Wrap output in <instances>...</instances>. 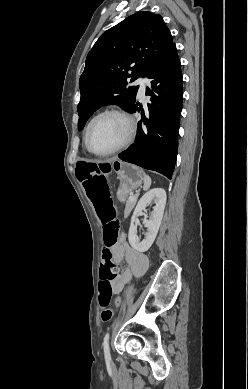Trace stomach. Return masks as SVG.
<instances>
[{"mask_svg":"<svg viewBox=\"0 0 248 389\" xmlns=\"http://www.w3.org/2000/svg\"><path fill=\"white\" fill-rule=\"evenodd\" d=\"M112 169L116 171L120 182L117 197L120 201H124L131 191L142 185L144 180L143 170L135 165L118 161L113 164Z\"/></svg>","mask_w":248,"mask_h":389,"instance_id":"stomach-1","label":"stomach"}]
</instances>
